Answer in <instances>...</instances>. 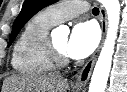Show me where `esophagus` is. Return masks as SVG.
I'll return each mask as SVG.
<instances>
[{
	"label": "esophagus",
	"instance_id": "34e87169",
	"mask_svg": "<svg viewBox=\"0 0 127 92\" xmlns=\"http://www.w3.org/2000/svg\"><path fill=\"white\" fill-rule=\"evenodd\" d=\"M100 15H101L102 34H103V38H104V36L106 34V29H107V14H106V10L103 8V6H101V8H100ZM100 48H101V46H99L98 50L93 54V56L82 67L81 71L79 72V74L77 76V79L74 82V86L76 88H84L87 85Z\"/></svg>",
	"mask_w": 127,
	"mask_h": 92
}]
</instances>
